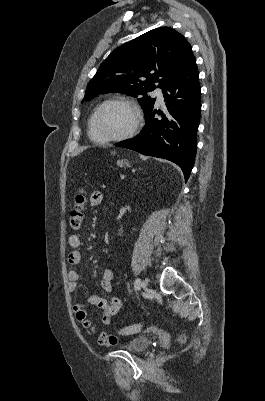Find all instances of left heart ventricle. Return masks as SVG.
I'll use <instances>...</instances> for the list:
<instances>
[{
	"label": "left heart ventricle",
	"mask_w": 265,
	"mask_h": 401,
	"mask_svg": "<svg viewBox=\"0 0 265 401\" xmlns=\"http://www.w3.org/2000/svg\"><path fill=\"white\" fill-rule=\"evenodd\" d=\"M134 112L123 104L107 107L95 124V135L99 139H107L125 133L133 124Z\"/></svg>",
	"instance_id": "b2bd125f"
}]
</instances>
